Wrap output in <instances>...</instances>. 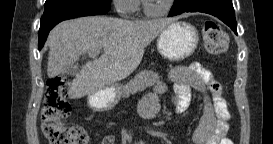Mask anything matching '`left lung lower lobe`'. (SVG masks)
<instances>
[{"instance_id": "1", "label": "left lung lower lobe", "mask_w": 273, "mask_h": 144, "mask_svg": "<svg viewBox=\"0 0 273 144\" xmlns=\"http://www.w3.org/2000/svg\"><path fill=\"white\" fill-rule=\"evenodd\" d=\"M196 11L218 17L237 34V24L232 0H182L172 6L169 16Z\"/></svg>"}]
</instances>
